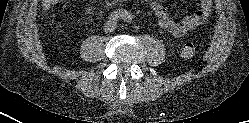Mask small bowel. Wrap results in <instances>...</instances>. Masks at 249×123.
<instances>
[{
    "instance_id": "c3829d8e",
    "label": "small bowel",
    "mask_w": 249,
    "mask_h": 123,
    "mask_svg": "<svg viewBox=\"0 0 249 123\" xmlns=\"http://www.w3.org/2000/svg\"><path fill=\"white\" fill-rule=\"evenodd\" d=\"M65 0H44L46 8L63 2ZM213 0H200L199 9L192 13L185 15L181 20H175L170 12L160 3L153 2L151 9L155 13L159 25L170 34L181 37L188 32L202 26L213 12Z\"/></svg>"
}]
</instances>
